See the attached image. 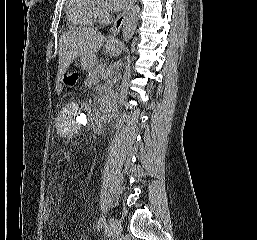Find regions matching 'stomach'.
Listing matches in <instances>:
<instances>
[{"mask_svg":"<svg viewBox=\"0 0 257 240\" xmlns=\"http://www.w3.org/2000/svg\"><path fill=\"white\" fill-rule=\"evenodd\" d=\"M106 51L110 55H116L118 53V44H116V43H113V44L107 43ZM95 61H96L95 57L94 58L81 57V61H80L81 67L84 70H90L94 66Z\"/></svg>","mask_w":257,"mask_h":240,"instance_id":"obj_1","label":"stomach"}]
</instances>
